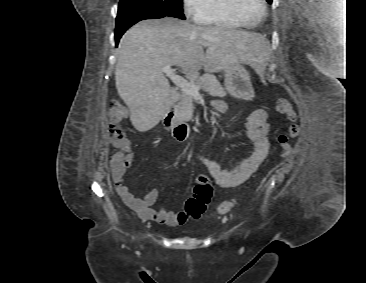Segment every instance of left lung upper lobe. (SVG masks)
Masks as SVG:
<instances>
[{
	"label": "left lung upper lobe",
	"mask_w": 366,
	"mask_h": 283,
	"mask_svg": "<svg viewBox=\"0 0 366 283\" xmlns=\"http://www.w3.org/2000/svg\"><path fill=\"white\" fill-rule=\"evenodd\" d=\"M269 4H271L272 3V0H266Z\"/></svg>",
	"instance_id": "left-lung-upper-lobe-1"
}]
</instances>
